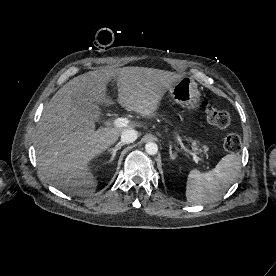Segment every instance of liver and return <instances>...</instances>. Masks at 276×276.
Listing matches in <instances>:
<instances>
[{"label":"liver","mask_w":276,"mask_h":276,"mask_svg":"<svg viewBox=\"0 0 276 276\" xmlns=\"http://www.w3.org/2000/svg\"><path fill=\"white\" fill-rule=\"evenodd\" d=\"M183 75L146 67H124L90 71L79 75L51 98L37 125L35 150L40 171L58 189L89 196L97 182L90 162L113 145L131 126L100 128L80 109L72 96L106 106L114 102L107 84L117 79L118 102L127 111L150 118L158 110L165 93Z\"/></svg>","instance_id":"obj_1"}]
</instances>
